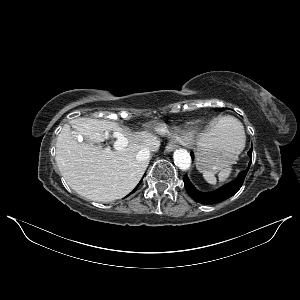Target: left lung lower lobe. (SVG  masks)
Masks as SVG:
<instances>
[{"label":"left lung lower lobe","instance_id":"1","mask_svg":"<svg viewBox=\"0 0 300 300\" xmlns=\"http://www.w3.org/2000/svg\"><path fill=\"white\" fill-rule=\"evenodd\" d=\"M248 155L250 156L251 161H252V148L249 150ZM191 156L193 158V156H194L193 153H191ZM251 161L249 163L248 168L239 173L237 179H235L231 183H229L215 191L204 193V192L197 190L194 187V185L189 181L187 175L183 179L185 189L192 199H194L195 201H197L201 204L212 205V204L220 203V202L230 198L234 194H236L238 192V190L241 188V186L244 182L245 176L249 170Z\"/></svg>","mask_w":300,"mask_h":300}]
</instances>
